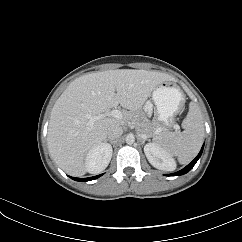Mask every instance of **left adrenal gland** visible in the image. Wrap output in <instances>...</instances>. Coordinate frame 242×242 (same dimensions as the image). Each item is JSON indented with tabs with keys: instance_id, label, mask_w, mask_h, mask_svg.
<instances>
[{
	"instance_id": "left-adrenal-gland-1",
	"label": "left adrenal gland",
	"mask_w": 242,
	"mask_h": 242,
	"mask_svg": "<svg viewBox=\"0 0 242 242\" xmlns=\"http://www.w3.org/2000/svg\"><path fill=\"white\" fill-rule=\"evenodd\" d=\"M139 140H140L141 144L144 145L145 141L148 140V139H146V138H142V137H139Z\"/></svg>"
}]
</instances>
